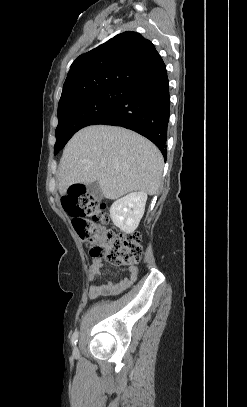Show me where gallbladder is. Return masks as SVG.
Listing matches in <instances>:
<instances>
[{
    "mask_svg": "<svg viewBox=\"0 0 247 407\" xmlns=\"http://www.w3.org/2000/svg\"><path fill=\"white\" fill-rule=\"evenodd\" d=\"M87 192L96 200H101L103 198L102 190L97 181L87 185Z\"/></svg>",
    "mask_w": 247,
    "mask_h": 407,
    "instance_id": "obj_1",
    "label": "gallbladder"
}]
</instances>
